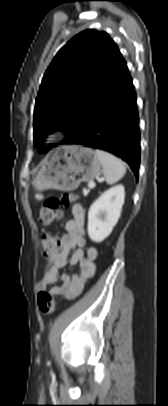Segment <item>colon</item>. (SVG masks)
Masks as SVG:
<instances>
[{"instance_id": "obj_1", "label": "colon", "mask_w": 168, "mask_h": 406, "mask_svg": "<svg viewBox=\"0 0 168 406\" xmlns=\"http://www.w3.org/2000/svg\"><path fill=\"white\" fill-rule=\"evenodd\" d=\"M75 199L71 194L47 199L40 208L39 221L45 225L56 222L61 217V209L68 207ZM57 246V240L53 236L46 234L41 237V252L44 258L49 259L56 252ZM37 304L43 314H52L56 308L54 296L46 291L38 293Z\"/></svg>"}]
</instances>
